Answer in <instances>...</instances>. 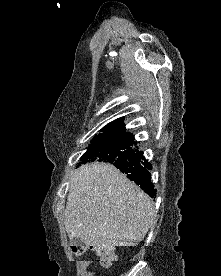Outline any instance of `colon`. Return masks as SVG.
Wrapping results in <instances>:
<instances>
[{
    "label": "colon",
    "mask_w": 221,
    "mask_h": 276,
    "mask_svg": "<svg viewBox=\"0 0 221 276\" xmlns=\"http://www.w3.org/2000/svg\"><path fill=\"white\" fill-rule=\"evenodd\" d=\"M87 246L84 245H73L71 246V251L73 254L80 256L87 251ZM91 249L99 257L101 264L104 267L111 266L116 261V256L111 248L107 246H94Z\"/></svg>",
    "instance_id": "1"
}]
</instances>
